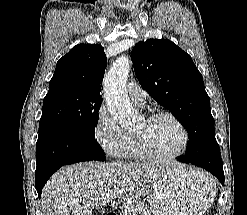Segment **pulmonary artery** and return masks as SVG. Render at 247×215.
Instances as JSON below:
<instances>
[{
  "mask_svg": "<svg viewBox=\"0 0 247 215\" xmlns=\"http://www.w3.org/2000/svg\"><path fill=\"white\" fill-rule=\"evenodd\" d=\"M128 94L132 103L137 106H141L147 98L146 91L135 81L128 84Z\"/></svg>",
  "mask_w": 247,
  "mask_h": 215,
  "instance_id": "pulmonary-artery-1",
  "label": "pulmonary artery"
}]
</instances>
